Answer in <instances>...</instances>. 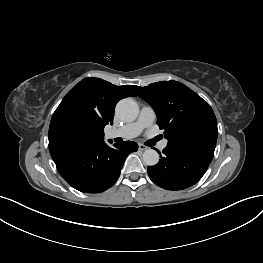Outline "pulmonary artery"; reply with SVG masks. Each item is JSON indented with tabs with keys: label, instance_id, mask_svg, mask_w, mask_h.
I'll return each instance as SVG.
<instances>
[{
	"label": "pulmonary artery",
	"instance_id": "1",
	"mask_svg": "<svg viewBox=\"0 0 263 263\" xmlns=\"http://www.w3.org/2000/svg\"><path fill=\"white\" fill-rule=\"evenodd\" d=\"M156 118L154 110L149 106H144L135 122L126 124L117 129L108 130L106 133L107 138L121 137L123 139H131L137 137L144 129L150 127ZM167 140L160 143V149L167 146Z\"/></svg>",
	"mask_w": 263,
	"mask_h": 263
}]
</instances>
